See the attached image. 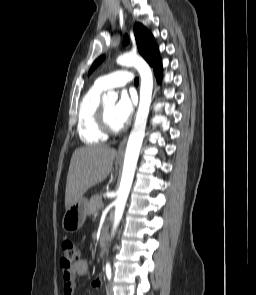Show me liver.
Returning <instances> with one entry per match:
<instances>
[{
  "mask_svg": "<svg viewBox=\"0 0 256 295\" xmlns=\"http://www.w3.org/2000/svg\"><path fill=\"white\" fill-rule=\"evenodd\" d=\"M116 154L114 148L106 145L85 146L74 151L66 182V209L82 198L89 188L107 178Z\"/></svg>",
  "mask_w": 256,
  "mask_h": 295,
  "instance_id": "liver-1",
  "label": "liver"
}]
</instances>
